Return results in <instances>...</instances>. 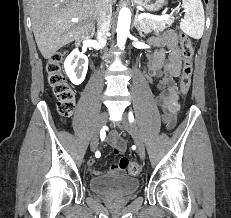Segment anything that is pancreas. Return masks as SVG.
Returning <instances> with one entry per match:
<instances>
[{
	"mask_svg": "<svg viewBox=\"0 0 231 218\" xmlns=\"http://www.w3.org/2000/svg\"><path fill=\"white\" fill-rule=\"evenodd\" d=\"M174 22V17H169L165 20H155L151 18H143L139 22L141 30L145 33L155 32L159 33L163 31L167 26H171Z\"/></svg>",
	"mask_w": 231,
	"mask_h": 218,
	"instance_id": "pancreas-1",
	"label": "pancreas"
}]
</instances>
